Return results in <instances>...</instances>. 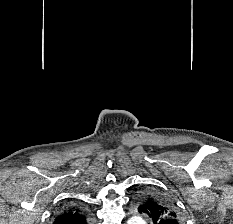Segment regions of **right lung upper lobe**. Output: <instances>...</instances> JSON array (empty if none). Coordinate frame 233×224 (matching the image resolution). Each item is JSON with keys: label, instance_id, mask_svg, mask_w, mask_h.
<instances>
[{"label": "right lung upper lobe", "instance_id": "cb5924a9", "mask_svg": "<svg viewBox=\"0 0 233 224\" xmlns=\"http://www.w3.org/2000/svg\"><path fill=\"white\" fill-rule=\"evenodd\" d=\"M91 222V216L85 208L77 204H69L59 210L52 224H90Z\"/></svg>", "mask_w": 233, "mask_h": 224}]
</instances>
